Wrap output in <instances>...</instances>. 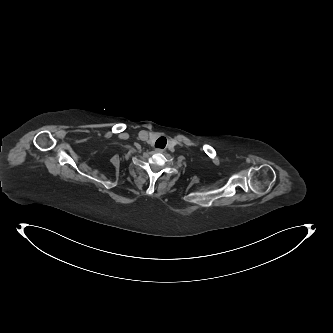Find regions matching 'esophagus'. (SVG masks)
<instances>
[{
    "label": "esophagus",
    "mask_w": 333,
    "mask_h": 333,
    "mask_svg": "<svg viewBox=\"0 0 333 333\" xmlns=\"http://www.w3.org/2000/svg\"><path fill=\"white\" fill-rule=\"evenodd\" d=\"M155 151H156L157 153H163L165 150L162 149V148H157Z\"/></svg>",
    "instance_id": "34e87169"
}]
</instances>
